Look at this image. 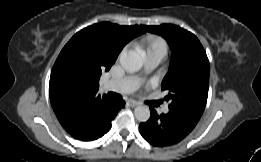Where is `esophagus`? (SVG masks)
Returning a JSON list of instances; mask_svg holds the SVG:
<instances>
[{"mask_svg":"<svg viewBox=\"0 0 261 162\" xmlns=\"http://www.w3.org/2000/svg\"><path fill=\"white\" fill-rule=\"evenodd\" d=\"M127 104L129 105V106H131V107H137L138 105H139V103L138 102H136V101H134V100H128L127 101Z\"/></svg>","mask_w":261,"mask_h":162,"instance_id":"1","label":"esophagus"}]
</instances>
